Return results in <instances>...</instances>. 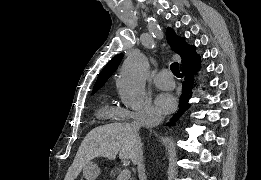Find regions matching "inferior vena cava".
<instances>
[{
    "label": "inferior vena cava",
    "mask_w": 261,
    "mask_h": 180,
    "mask_svg": "<svg viewBox=\"0 0 261 180\" xmlns=\"http://www.w3.org/2000/svg\"><path fill=\"white\" fill-rule=\"evenodd\" d=\"M137 128H138V126H136V130H137ZM132 164H134V166H137L139 176H143V174H144V164H143L142 150H138L135 158H133V160H132Z\"/></svg>",
    "instance_id": "1"
}]
</instances>
